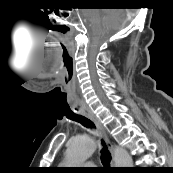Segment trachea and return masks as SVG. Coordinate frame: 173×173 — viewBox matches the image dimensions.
Masks as SVG:
<instances>
[{
  "label": "trachea",
  "mask_w": 173,
  "mask_h": 173,
  "mask_svg": "<svg viewBox=\"0 0 173 173\" xmlns=\"http://www.w3.org/2000/svg\"><path fill=\"white\" fill-rule=\"evenodd\" d=\"M71 120L76 121L80 124H82L84 127L87 128H94V123L88 119L87 117L79 114H74L73 116L69 117ZM102 145L104 148L102 149L101 153V162L104 167H110V161H111V155L107 148L105 147V142L102 140Z\"/></svg>",
  "instance_id": "obj_1"
}]
</instances>
